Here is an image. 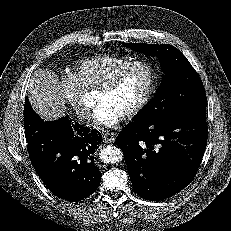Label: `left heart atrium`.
Listing matches in <instances>:
<instances>
[{
  "label": "left heart atrium",
  "instance_id": "39dd6f15",
  "mask_svg": "<svg viewBox=\"0 0 231 231\" xmlns=\"http://www.w3.org/2000/svg\"><path fill=\"white\" fill-rule=\"evenodd\" d=\"M121 118L122 115L106 102L99 103L93 115L94 122L107 127L115 125Z\"/></svg>",
  "mask_w": 231,
  "mask_h": 231
}]
</instances>
